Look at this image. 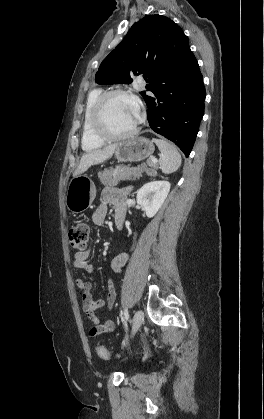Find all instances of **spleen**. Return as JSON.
I'll list each match as a JSON object with an SVG mask.
<instances>
[{
    "label": "spleen",
    "mask_w": 264,
    "mask_h": 419,
    "mask_svg": "<svg viewBox=\"0 0 264 419\" xmlns=\"http://www.w3.org/2000/svg\"><path fill=\"white\" fill-rule=\"evenodd\" d=\"M161 151L159 165L163 173L170 174L178 170L182 159L177 148L166 140H153Z\"/></svg>",
    "instance_id": "spleen-1"
}]
</instances>
